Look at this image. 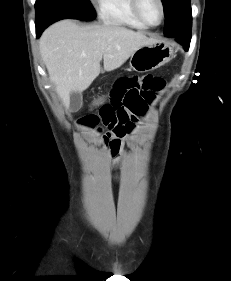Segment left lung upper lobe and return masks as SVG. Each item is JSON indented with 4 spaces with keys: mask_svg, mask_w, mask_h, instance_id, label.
Here are the masks:
<instances>
[{
    "mask_svg": "<svg viewBox=\"0 0 231 281\" xmlns=\"http://www.w3.org/2000/svg\"><path fill=\"white\" fill-rule=\"evenodd\" d=\"M191 0H162L165 12L164 33L192 26Z\"/></svg>",
    "mask_w": 231,
    "mask_h": 281,
    "instance_id": "left-lung-upper-lobe-1",
    "label": "left lung upper lobe"
}]
</instances>
